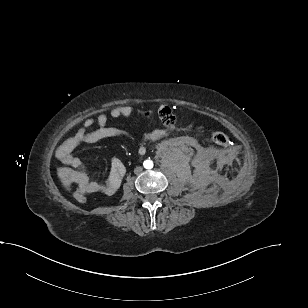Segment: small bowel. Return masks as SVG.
Here are the masks:
<instances>
[{"mask_svg":"<svg viewBox=\"0 0 308 308\" xmlns=\"http://www.w3.org/2000/svg\"><path fill=\"white\" fill-rule=\"evenodd\" d=\"M165 108L160 106L159 110ZM134 113L131 106H119L110 111V117H128ZM96 129H92L93 127ZM163 134L162 130H155L145 135V141H155ZM125 132L108 126V116L100 114L96 119H86L83 127L79 129L72 137L65 140L57 149V158L65 165L71 168L70 180L77 185L78 189L87 194L104 193L106 195L114 194L119 188L125 174V166L119 159H113L111 163L109 176L104 184L88 177L82 160L73 154L74 150L81 144H95L104 139L124 136Z\"/></svg>","mask_w":308,"mask_h":308,"instance_id":"1","label":"small bowel"}]
</instances>
